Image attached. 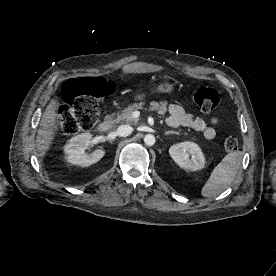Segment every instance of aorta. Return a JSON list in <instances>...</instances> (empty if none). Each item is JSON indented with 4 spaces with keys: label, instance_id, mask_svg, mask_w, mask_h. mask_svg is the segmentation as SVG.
<instances>
[{
    "label": "aorta",
    "instance_id": "obj_1",
    "mask_svg": "<svg viewBox=\"0 0 276 276\" xmlns=\"http://www.w3.org/2000/svg\"><path fill=\"white\" fill-rule=\"evenodd\" d=\"M155 141H156V139H155L154 135H152V134H147V135L144 137V142H145V144L148 145V146L154 145V144H155Z\"/></svg>",
    "mask_w": 276,
    "mask_h": 276
}]
</instances>
